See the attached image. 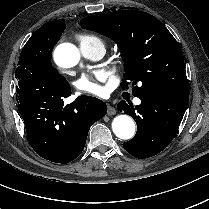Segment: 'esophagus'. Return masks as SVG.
<instances>
[{
    "label": "esophagus",
    "mask_w": 209,
    "mask_h": 209,
    "mask_svg": "<svg viewBox=\"0 0 209 209\" xmlns=\"http://www.w3.org/2000/svg\"><path fill=\"white\" fill-rule=\"evenodd\" d=\"M116 109L113 107V106H111V105H108V110H107V114L108 115H114V114H116Z\"/></svg>",
    "instance_id": "obj_1"
}]
</instances>
